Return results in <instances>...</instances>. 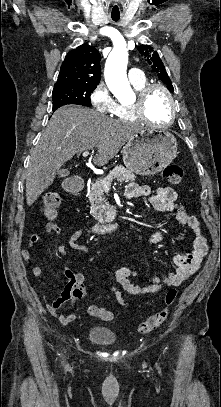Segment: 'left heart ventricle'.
Listing matches in <instances>:
<instances>
[{
    "label": "left heart ventricle",
    "mask_w": 221,
    "mask_h": 407,
    "mask_svg": "<svg viewBox=\"0 0 221 407\" xmlns=\"http://www.w3.org/2000/svg\"><path fill=\"white\" fill-rule=\"evenodd\" d=\"M148 118L155 123L166 124L171 115V106L166 95L160 91H153L145 107Z\"/></svg>",
    "instance_id": "left-heart-ventricle-1"
}]
</instances>
